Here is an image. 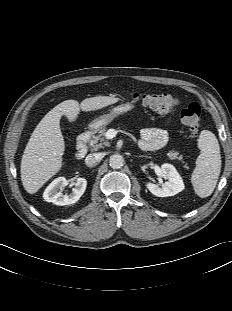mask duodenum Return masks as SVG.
Wrapping results in <instances>:
<instances>
[{"mask_svg": "<svg viewBox=\"0 0 232 311\" xmlns=\"http://www.w3.org/2000/svg\"><path fill=\"white\" fill-rule=\"evenodd\" d=\"M90 138V133L89 132H83L81 133L78 138H77V148H76V152H75V158L77 160H82L87 152H88V148H87V143L89 141Z\"/></svg>", "mask_w": 232, "mask_h": 311, "instance_id": "1", "label": "duodenum"}]
</instances>
